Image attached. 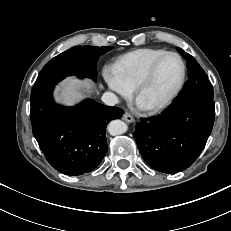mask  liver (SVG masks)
<instances>
[{
  "mask_svg": "<svg viewBox=\"0 0 231 231\" xmlns=\"http://www.w3.org/2000/svg\"><path fill=\"white\" fill-rule=\"evenodd\" d=\"M81 85L90 91L94 90V85L88 80L80 81L76 78H68L63 81L61 86L57 89L55 93L56 100L65 105H73L82 98L81 93L78 91Z\"/></svg>",
  "mask_w": 231,
  "mask_h": 231,
  "instance_id": "liver-1",
  "label": "liver"
}]
</instances>
